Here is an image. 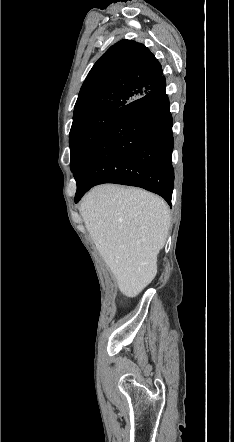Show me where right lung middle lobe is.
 Returning a JSON list of instances; mask_svg holds the SVG:
<instances>
[{"label": "right lung middle lobe", "instance_id": "right-lung-middle-lobe-1", "mask_svg": "<svg viewBox=\"0 0 234 442\" xmlns=\"http://www.w3.org/2000/svg\"><path fill=\"white\" fill-rule=\"evenodd\" d=\"M118 112L119 109L103 110L73 121L69 137L72 172L101 138Z\"/></svg>", "mask_w": 234, "mask_h": 442}]
</instances>
